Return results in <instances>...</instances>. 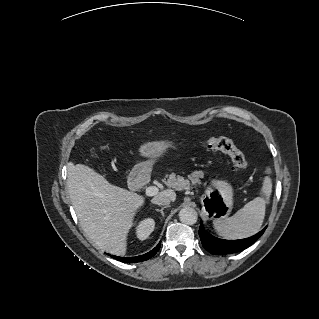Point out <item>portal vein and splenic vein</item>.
Wrapping results in <instances>:
<instances>
[{"mask_svg": "<svg viewBox=\"0 0 319 319\" xmlns=\"http://www.w3.org/2000/svg\"><path fill=\"white\" fill-rule=\"evenodd\" d=\"M148 196H154L158 193V188L155 186H150L147 190Z\"/></svg>", "mask_w": 319, "mask_h": 319, "instance_id": "18ae733b", "label": "portal vein and splenic vein"}]
</instances>
